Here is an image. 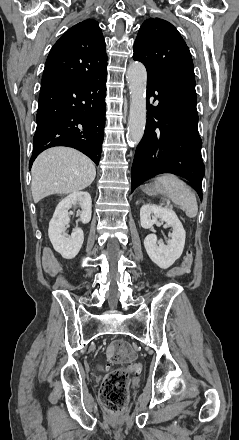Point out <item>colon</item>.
Masks as SVG:
<instances>
[{
    "label": "colon",
    "mask_w": 239,
    "mask_h": 440,
    "mask_svg": "<svg viewBox=\"0 0 239 440\" xmlns=\"http://www.w3.org/2000/svg\"><path fill=\"white\" fill-rule=\"evenodd\" d=\"M193 262V253L188 251L180 266L168 273L169 277H177L189 271ZM110 360L120 365L106 374L101 386V400L104 408L111 413H120L128 401V379L130 371H137L140 365L135 362V351L125 340H115L108 347ZM129 363V367L123 365Z\"/></svg>",
    "instance_id": "5ec220e1"
}]
</instances>
